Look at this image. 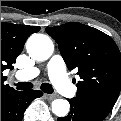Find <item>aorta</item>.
Returning <instances> with one entry per match:
<instances>
[{
    "instance_id": "obj_1",
    "label": "aorta",
    "mask_w": 121,
    "mask_h": 121,
    "mask_svg": "<svg viewBox=\"0 0 121 121\" xmlns=\"http://www.w3.org/2000/svg\"><path fill=\"white\" fill-rule=\"evenodd\" d=\"M53 43L50 38L43 34H33L26 43V49L30 57L37 61H45L49 59L53 53ZM70 104L64 99H55L52 102V112L64 117L68 114Z\"/></svg>"
}]
</instances>
